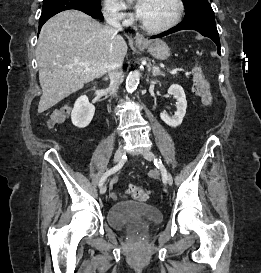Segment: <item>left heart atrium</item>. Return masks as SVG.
Wrapping results in <instances>:
<instances>
[{
  "mask_svg": "<svg viewBox=\"0 0 261 273\" xmlns=\"http://www.w3.org/2000/svg\"><path fill=\"white\" fill-rule=\"evenodd\" d=\"M143 2H144V0H139L138 3L136 4V9H137V13H138L139 17H140L142 10H143Z\"/></svg>",
  "mask_w": 261,
  "mask_h": 273,
  "instance_id": "39dd6f15",
  "label": "left heart atrium"
}]
</instances>
